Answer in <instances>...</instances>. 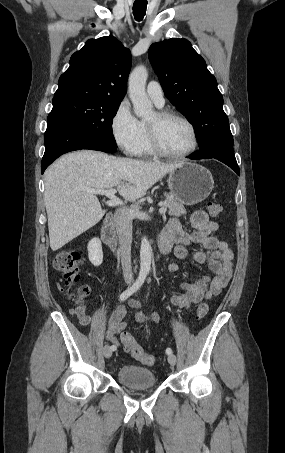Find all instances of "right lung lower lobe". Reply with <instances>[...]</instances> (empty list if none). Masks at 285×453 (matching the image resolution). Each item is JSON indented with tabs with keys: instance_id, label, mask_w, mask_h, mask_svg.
Masks as SVG:
<instances>
[{
	"instance_id": "right-lung-lower-lobe-1",
	"label": "right lung lower lobe",
	"mask_w": 285,
	"mask_h": 453,
	"mask_svg": "<svg viewBox=\"0 0 285 453\" xmlns=\"http://www.w3.org/2000/svg\"><path fill=\"white\" fill-rule=\"evenodd\" d=\"M44 142L45 153L41 162L42 174L55 159L70 151L91 149L112 153L117 150L116 147L101 142L84 131L69 117L52 111L47 118Z\"/></svg>"
}]
</instances>
